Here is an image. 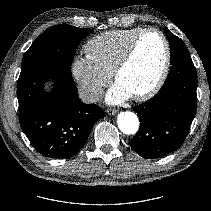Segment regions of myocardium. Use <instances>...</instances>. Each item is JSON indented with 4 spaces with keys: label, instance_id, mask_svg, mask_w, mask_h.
Listing matches in <instances>:
<instances>
[{
    "label": "myocardium",
    "instance_id": "myocardium-1",
    "mask_svg": "<svg viewBox=\"0 0 211 211\" xmlns=\"http://www.w3.org/2000/svg\"><path fill=\"white\" fill-rule=\"evenodd\" d=\"M148 33H156L161 37L163 44H164V50H165L164 63H163L162 70H161L157 80L155 81V83L146 91L136 94V95H133V98L137 101H146V100H149L152 97H154L160 91V89L162 88V86L164 85V83L168 77V74L170 71V65H171V49H170L169 41H168L167 37L165 36V34L161 30L154 28V27L143 28L133 38V40L130 43L125 54L122 56V58L116 64V66L114 67L113 72H112L113 79L117 82L119 75L133 61L141 38Z\"/></svg>",
    "mask_w": 211,
    "mask_h": 211
}]
</instances>
